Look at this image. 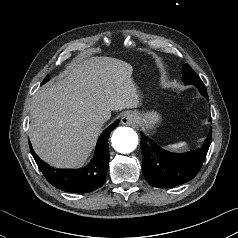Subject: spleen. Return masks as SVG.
<instances>
[{"label": "spleen", "mask_w": 238, "mask_h": 238, "mask_svg": "<svg viewBox=\"0 0 238 238\" xmlns=\"http://www.w3.org/2000/svg\"><path fill=\"white\" fill-rule=\"evenodd\" d=\"M186 147H187V144L185 142H179V143H175V144H171L167 146L168 149L175 150V151L184 150L186 149Z\"/></svg>", "instance_id": "1"}]
</instances>
